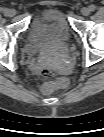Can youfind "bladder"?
I'll return each instance as SVG.
<instances>
[{
    "instance_id": "1",
    "label": "bladder",
    "mask_w": 104,
    "mask_h": 137,
    "mask_svg": "<svg viewBox=\"0 0 104 137\" xmlns=\"http://www.w3.org/2000/svg\"><path fill=\"white\" fill-rule=\"evenodd\" d=\"M71 28L61 11L48 8L35 17L27 30L25 51L30 56L53 59L65 53Z\"/></svg>"
}]
</instances>
